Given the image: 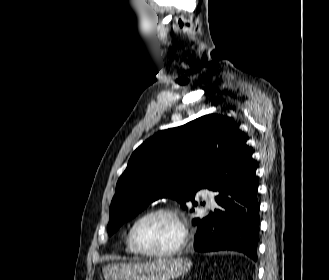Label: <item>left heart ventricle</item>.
Here are the masks:
<instances>
[{"label":"left heart ventricle","mask_w":329,"mask_h":280,"mask_svg":"<svg viewBox=\"0 0 329 280\" xmlns=\"http://www.w3.org/2000/svg\"><path fill=\"white\" fill-rule=\"evenodd\" d=\"M135 238L143 249L162 251L173 247L178 242L179 230L170 217L155 215L139 224Z\"/></svg>","instance_id":"obj_1"}]
</instances>
